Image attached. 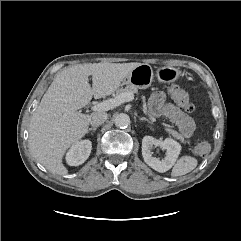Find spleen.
<instances>
[{
    "mask_svg": "<svg viewBox=\"0 0 241 241\" xmlns=\"http://www.w3.org/2000/svg\"><path fill=\"white\" fill-rule=\"evenodd\" d=\"M198 161L192 156H183L174 165L171 176L178 177L185 175L196 168Z\"/></svg>",
    "mask_w": 241,
    "mask_h": 241,
    "instance_id": "1",
    "label": "spleen"
}]
</instances>
